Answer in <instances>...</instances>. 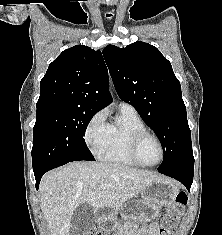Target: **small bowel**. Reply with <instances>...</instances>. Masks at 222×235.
Wrapping results in <instances>:
<instances>
[{"label":"small bowel","instance_id":"obj_1","mask_svg":"<svg viewBox=\"0 0 222 235\" xmlns=\"http://www.w3.org/2000/svg\"><path fill=\"white\" fill-rule=\"evenodd\" d=\"M149 232H150L151 235H158L157 234V226L156 225H151L149 227ZM116 235H123V233H118Z\"/></svg>","mask_w":222,"mask_h":235}]
</instances>
